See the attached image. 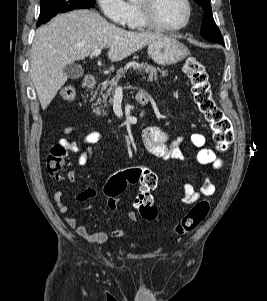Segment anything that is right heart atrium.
<instances>
[{"instance_id": "1", "label": "right heart atrium", "mask_w": 267, "mask_h": 301, "mask_svg": "<svg viewBox=\"0 0 267 301\" xmlns=\"http://www.w3.org/2000/svg\"><path fill=\"white\" fill-rule=\"evenodd\" d=\"M102 13L119 26L128 25L131 6L126 0H97Z\"/></svg>"}]
</instances>
